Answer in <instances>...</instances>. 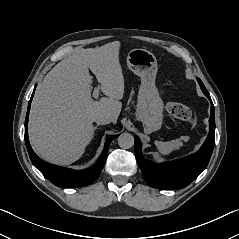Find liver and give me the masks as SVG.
<instances>
[{"label":"liver","instance_id":"liver-1","mask_svg":"<svg viewBox=\"0 0 239 239\" xmlns=\"http://www.w3.org/2000/svg\"><path fill=\"white\" fill-rule=\"evenodd\" d=\"M117 41L81 49L59 62L35 92L29 117L34 150L46 161L68 165L84 153L94 135V118L107 113L117 122L124 95V77ZM107 97L91 98L92 77Z\"/></svg>","mask_w":239,"mask_h":239}]
</instances>
